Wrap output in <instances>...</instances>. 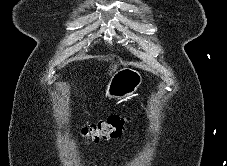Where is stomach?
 Wrapping results in <instances>:
<instances>
[{"label": "stomach", "instance_id": "0dacf381", "mask_svg": "<svg viewBox=\"0 0 227 166\" xmlns=\"http://www.w3.org/2000/svg\"><path fill=\"white\" fill-rule=\"evenodd\" d=\"M142 82L140 72L131 67H123L112 76L106 87L105 97L118 100L132 97Z\"/></svg>", "mask_w": 227, "mask_h": 166}]
</instances>
